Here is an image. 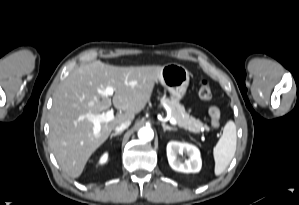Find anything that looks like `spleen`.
I'll return each mask as SVG.
<instances>
[{
	"label": "spleen",
	"mask_w": 299,
	"mask_h": 205,
	"mask_svg": "<svg viewBox=\"0 0 299 205\" xmlns=\"http://www.w3.org/2000/svg\"><path fill=\"white\" fill-rule=\"evenodd\" d=\"M236 144V125L233 121H228L224 126L221 138L213 149L216 176L221 175L230 164L235 155Z\"/></svg>",
	"instance_id": "1"
}]
</instances>
